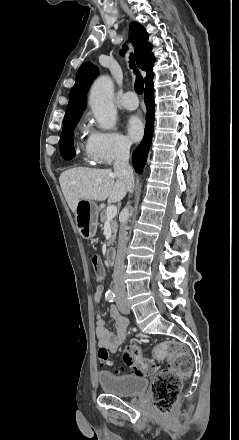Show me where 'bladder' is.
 Masks as SVG:
<instances>
[{"mask_svg":"<svg viewBox=\"0 0 239 440\" xmlns=\"http://www.w3.org/2000/svg\"><path fill=\"white\" fill-rule=\"evenodd\" d=\"M101 389L119 397H133L144 393L148 380L144 377L116 375L109 371H100L97 375Z\"/></svg>","mask_w":239,"mask_h":440,"instance_id":"31cf9c89","label":"bladder"}]
</instances>
